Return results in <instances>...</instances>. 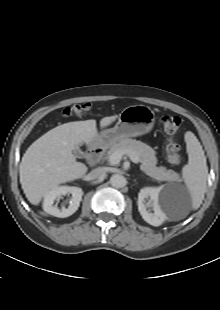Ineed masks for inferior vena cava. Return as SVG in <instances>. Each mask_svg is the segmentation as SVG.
<instances>
[{"label": "inferior vena cava", "mask_w": 220, "mask_h": 310, "mask_svg": "<svg viewBox=\"0 0 220 310\" xmlns=\"http://www.w3.org/2000/svg\"><path fill=\"white\" fill-rule=\"evenodd\" d=\"M106 173V169L103 167L96 168L89 173V178L94 180L104 176Z\"/></svg>", "instance_id": "1"}]
</instances>
